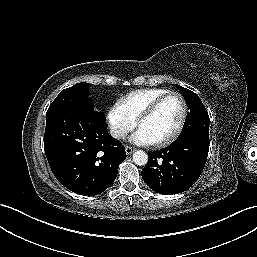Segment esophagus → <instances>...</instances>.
Instances as JSON below:
<instances>
[{
	"label": "esophagus",
	"mask_w": 257,
	"mask_h": 257,
	"mask_svg": "<svg viewBox=\"0 0 257 257\" xmlns=\"http://www.w3.org/2000/svg\"><path fill=\"white\" fill-rule=\"evenodd\" d=\"M125 151L127 155H130L134 152V148L130 147V146H126L125 147Z\"/></svg>",
	"instance_id": "esophagus-1"
}]
</instances>
